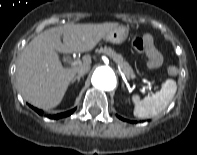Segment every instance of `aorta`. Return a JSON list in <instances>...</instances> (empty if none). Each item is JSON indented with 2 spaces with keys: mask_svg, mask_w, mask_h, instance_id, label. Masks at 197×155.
I'll return each mask as SVG.
<instances>
[{
  "mask_svg": "<svg viewBox=\"0 0 197 155\" xmlns=\"http://www.w3.org/2000/svg\"><path fill=\"white\" fill-rule=\"evenodd\" d=\"M116 76L109 66H100L92 75V84L102 90H113L116 86Z\"/></svg>",
  "mask_w": 197,
  "mask_h": 155,
  "instance_id": "762f6f07",
  "label": "aorta"
}]
</instances>
